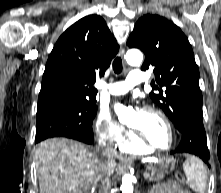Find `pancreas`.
<instances>
[{
	"label": "pancreas",
	"mask_w": 221,
	"mask_h": 193,
	"mask_svg": "<svg viewBox=\"0 0 221 193\" xmlns=\"http://www.w3.org/2000/svg\"><path fill=\"white\" fill-rule=\"evenodd\" d=\"M147 169L150 171L149 181L158 182L164 178V168H157L153 165H149Z\"/></svg>",
	"instance_id": "1"
}]
</instances>
